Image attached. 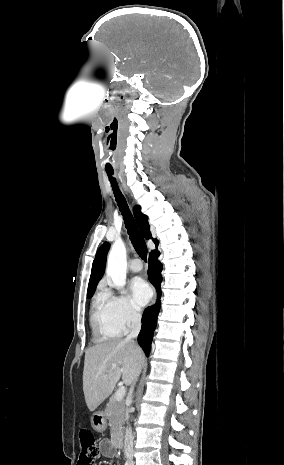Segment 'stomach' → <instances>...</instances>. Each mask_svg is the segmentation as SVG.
Listing matches in <instances>:
<instances>
[{"label":"stomach","mask_w":284,"mask_h":465,"mask_svg":"<svg viewBox=\"0 0 284 465\" xmlns=\"http://www.w3.org/2000/svg\"><path fill=\"white\" fill-rule=\"evenodd\" d=\"M91 425L97 433H103L107 427V421L104 411H96L91 417Z\"/></svg>","instance_id":"obj_1"}]
</instances>
